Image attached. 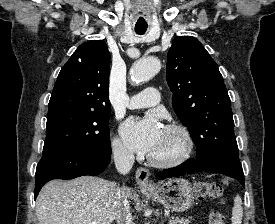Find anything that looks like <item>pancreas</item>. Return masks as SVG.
<instances>
[{
	"instance_id": "1",
	"label": "pancreas",
	"mask_w": 275,
	"mask_h": 224,
	"mask_svg": "<svg viewBox=\"0 0 275 224\" xmlns=\"http://www.w3.org/2000/svg\"><path fill=\"white\" fill-rule=\"evenodd\" d=\"M191 219V217H172L170 224H190Z\"/></svg>"
}]
</instances>
